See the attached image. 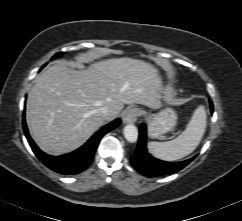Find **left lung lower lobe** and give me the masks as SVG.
<instances>
[{
    "label": "left lung lower lobe",
    "mask_w": 242,
    "mask_h": 221,
    "mask_svg": "<svg viewBox=\"0 0 242 221\" xmlns=\"http://www.w3.org/2000/svg\"><path fill=\"white\" fill-rule=\"evenodd\" d=\"M210 102V110L213 113V103ZM196 156L182 162H165L158 160L148 154L146 149V125L140 127L139 140L135 153L131 157L134 168L147 177L171 174L177 172L188 165Z\"/></svg>",
    "instance_id": "1"
}]
</instances>
